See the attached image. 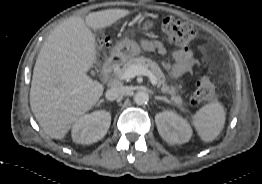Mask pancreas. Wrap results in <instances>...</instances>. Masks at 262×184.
I'll return each instance as SVG.
<instances>
[{
  "label": "pancreas",
  "mask_w": 262,
  "mask_h": 184,
  "mask_svg": "<svg viewBox=\"0 0 262 184\" xmlns=\"http://www.w3.org/2000/svg\"><path fill=\"white\" fill-rule=\"evenodd\" d=\"M133 65H141L144 66L145 68H149V70L156 76L157 78V83L158 86H161V91L166 94L171 95V100L177 104V105H182V99L180 96L177 95V91L173 86H168L166 84V79L165 75L163 74L162 70L160 69L159 65L152 61L149 58H145L144 56L132 58L128 60L124 66L120 69H116L114 71V74L118 77L121 78L122 74L131 66Z\"/></svg>",
  "instance_id": "pancreas-1"
}]
</instances>
